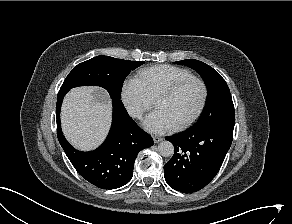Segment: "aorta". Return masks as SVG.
<instances>
[{"label": "aorta", "instance_id": "obj_1", "mask_svg": "<svg viewBox=\"0 0 292 224\" xmlns=\"http://www.w3.org/2000/svg\"><path fill=\"white\" fill-rule=\"evenodd\" d=\"M158 152L163 157H170L174 154V146L169 141H162L158 145Z\"/></svg>", "mask_w": 292, "mask_h": 224}]
</instances>
